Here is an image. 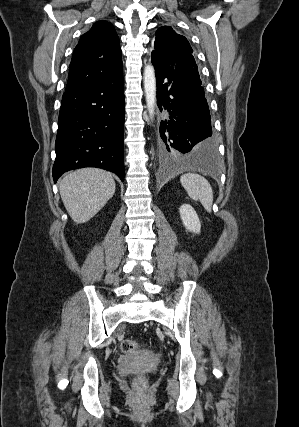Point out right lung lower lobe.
<instances>
[{
    "label": "right lung lower lobe",
    "mask_w": 299,
    "mask_h": 427,
    "mask_svg": "<svg viewBox=\"0 0 299 427\" xmlns=\"http://www.w3.org/2000/svg\"><path fill=\"white\" fill-rule=\"evenodd\" d=\"M55 143L54 182L66 171L98 167L124 180L123 70L63 94Z\"/></svg>",
    "instance_id": "obj_1"
}]
</instances>
